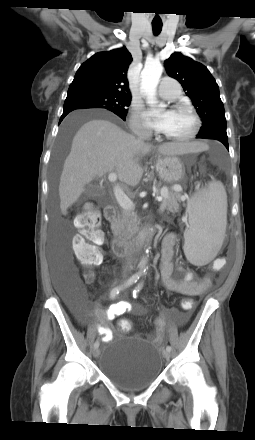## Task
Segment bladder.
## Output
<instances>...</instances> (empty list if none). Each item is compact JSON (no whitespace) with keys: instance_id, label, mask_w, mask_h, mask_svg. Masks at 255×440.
Returning <instances> with one entry per match:
<instances>
[{"instance_id":"1","label":"bladder","mask_w":255,"mask_h":440,"mask_svg":"<svg viewBox=\"0 0 255 440\" xmlns=\"http://www.w3.org/2000/svg\"><path fill=\"white\" fill-rule=\"evenodd\" d=\"M162 354L151 343L138 337H123L105 343L100 361L101 374L116 388L139 392L161 375Z\"/></svg>"}]
</instances>
